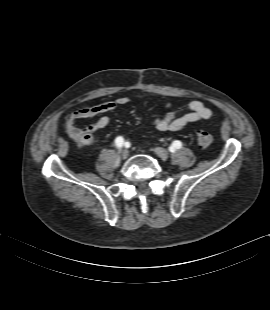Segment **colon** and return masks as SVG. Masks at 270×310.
I'll list each match as a JSON object with an SVG mask.
<instances>
[{
    "mask_svg": "<svg viewBox=\"0 0 270 310\" xmlns=\"http://www.w3.org/2000/svg\"><path fill=\"white\" fill-rule=\"evenodd\" d=\"M212 141H213L212 135L206 131H200L197 134V142H198L199 146H201V147L210 146Z\"/></svg>",
    "mask_w": 270,
    "mask_h": 310,
    "instance_id": "obj_1",
    "label": "colon"
}]
</instances>
